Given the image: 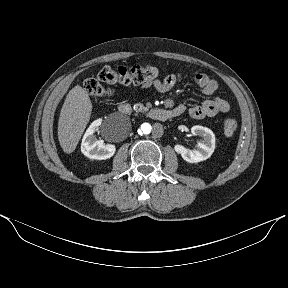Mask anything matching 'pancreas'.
Wrapping results in <instances>:
<instances>
[{
    "mask_svg": "<svg viewBox=\"0 0 288 288\" xmlns=\"http://www.w3.org/2000/svg\"><path fill=\"white\" fill-rule=\"evenodd\" d=\"M134 110L136 111V112H143V111H147L148 110V108L147 107H145L142 103H137V104H134Z\"/></svg>",
    "mask_w": 288,
    "mask_h": 288,
    "instance_id": "obj_1",
    "label": "pancreas"
}]
</instances>
